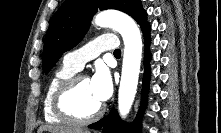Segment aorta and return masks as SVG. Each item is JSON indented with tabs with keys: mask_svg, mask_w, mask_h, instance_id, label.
<instances>
[{
	"mask_svg": "<svg viewBox=\"0 0 221 133\" xmlns=\"http://www.w3.org/2000/svg\"><path fill=\"white\" fill-rule=\"evenodd\" d=\"M94 22L99 27H111L118 31L124 41V56L118 93V109L122 118L131 110L137 91L142 58V39L135 21L117 11H103L96 15Z\"/></svg>",
	"mask_w": 221,
	"mask_h": 133,
	"instance_id": "obj_1",
	"label": "aorta"
}]
</instances>
